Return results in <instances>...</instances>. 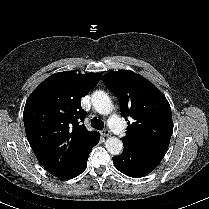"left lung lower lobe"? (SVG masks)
I'll return each mask as SVG.
<instances>
[{
    "instance_id": "1",
    "label": "left lung lower lobe",
    "mask_w": 209,
    "mask_h": 209,
    "mask_svg": "<svg viewBox=\"0 0 209 209\" xmlns=\"http://www.w3.org/2000/svg\"><path fill=\"white\" fill-rule=\"evenodd\" d=\"M163 156L124 148L122 154L113 157L115 167L123 174L140 178L153 171Z\"/></svg>"
}]
</instances>
